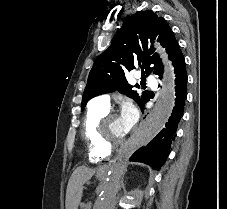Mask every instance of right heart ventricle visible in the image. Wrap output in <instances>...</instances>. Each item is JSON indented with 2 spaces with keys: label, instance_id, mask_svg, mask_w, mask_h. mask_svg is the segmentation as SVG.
Here are the masks:
<instances>
[{
  "label": "right heart ventricle",
  "instance_id": "right-heart-ventricle-1",
  "mask_svg": "<svg viewBox=\"0 0 227 209\" xmlns=\"http://www.w3.org/2000/svg\"><path fill=\"white\" fill-rule=\"evenodd\" d=\"M108 113V109L92 107L85 115L81 135L87 145L88 159L94 164H103L111 157L112 151L104 148L98 141L96 126L100 119Z\"/></svg>",
  "mask_w": 227,
  "mask_h": 209
}]
</instances>
